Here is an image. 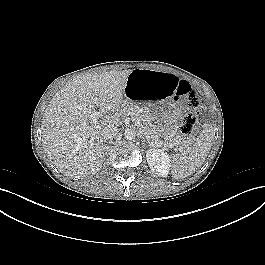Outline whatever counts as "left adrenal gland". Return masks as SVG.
<instances>
[{
    "label": "left adrenal gland",
    "instance_id": "a2214340",
    "mask_svg": "<svg viewBox=\"0 0 265 265\" xmlns=\"http://www.w3.org/2000/svg\"><path fill=\"white\" fill-rule=\"evenodd\" d=\"M142 139H143V142H142V144H144V142H146V140H145V138L142 136ZM150 144V143H149Z\"/></svg>",
    "mask_w": 265,
    "mask_h": 265
}]
</instances>
